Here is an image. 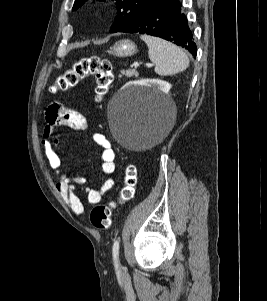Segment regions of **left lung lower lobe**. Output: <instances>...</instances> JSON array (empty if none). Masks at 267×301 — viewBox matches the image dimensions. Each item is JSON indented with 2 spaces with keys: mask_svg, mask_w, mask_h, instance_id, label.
<instances>
[{
  "mask_svg": "<svg viewBox=\"0 0 267 301\" xmlns=\"http://www.w3.org/2000/svg\"><path fill=\"white\" fill-rule=\"evenodd\" d=\"M117 32L157 36L186 48L196 56V44L179 0H154Z\"/></svg>",
  "mask_w": 267,
  "mask_h": 301,
  "instance_id": "0a47b994",
  "label": "left lung lower lobe"
}]
</instances>
